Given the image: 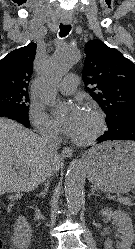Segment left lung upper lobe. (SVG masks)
Returning <instances> with one entry per match:
<instances>
[{
    "label": "left lung upper lobe",
    "mask_w": 135,
    "mask_h": 249,
    "mask_svg": "<svg viewBox=\"0 0 135 249\" xmlns=\"http://www.w3.org/2000/svg\"><path fill=\"white\" fill-rule=\"evenodd\" d=\"M85 53L84 83L94 85L89 91L113 125L126 111H135V64L99 40L87 42Z\"/></svg>",
    "instance_id": "obj_1"
}]
</instances>
